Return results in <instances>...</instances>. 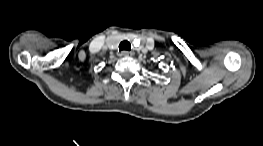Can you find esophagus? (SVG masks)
<instances>
[{
    "label": "esophagus",
    "mask_w": 263,
    "mask_h": 146,
    "mask_svg": "<svg viewBox=\"0 0 263 146\" xmlns=\"http://www.w3.org/2000/svg\"><path fill=\"white\" fill-rule=\"evenodd\" d=\"M131 54H132L131 52L126 51V50H124V51L121 52V56H129V55H131Z\"/></svg>",
    "instance_id": "esophagus-1"
}]
</instances>
